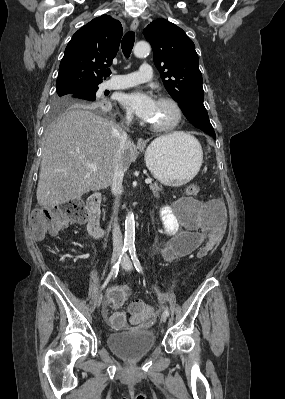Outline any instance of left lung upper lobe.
Here are the masks:
<instances>
[{
    "instance_id": "5c2ea615",
    "label": "left lung upper lobe",
    "mask_w": 285,
    "mask_h": 399,
    "mask_svg": "<svg viewBox=\"0 0 285 399\" xmlns=\"http://www.w3.org/2000/svg\"><path fill=\"white\" fill-rule=\"evenodd\" d=\"M143 34L153 48L155 66L169 94L193 126L214 135L203 104V80L192 40L181 28L162 18L150 23Z\"/></svg>"
}]
</instances>
